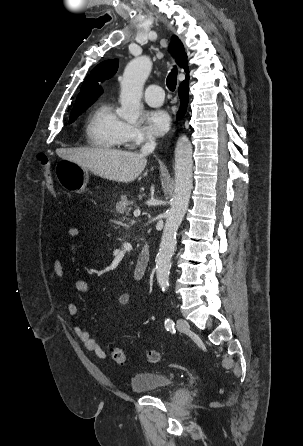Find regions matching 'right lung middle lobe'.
I'll list each match as a JSON object with an SVG mask.
<instances>
[{"label": "right lung middle lobe", "instance_id": "obj_1", "mask_svg": "<svg viewBox=\"0 0 303 446\" xmlns=\"http://www.w3.org/2000/svg\"><path fill=\"white\" fill-rule=\"evenodd\" d=\"M92 104H93V103H91V104H87V105H83V106H80V107H77V108H74V109L72 110V112H71L69 123L74 122L75 119H76L82 112H84L88 107H90Z\"/></svg>", "mask_w": 303, "mask_h": 446}]
</instances>
